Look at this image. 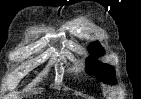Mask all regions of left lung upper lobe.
<instances>
[{
    "instance_id": "obj_1",
    "label": "left lung upper lobe",
    "mask_w": 141,
    "mask_h": 99,
    "mask_svg": "<svg viewBox=\"0 0 141 99\" xmlns=\"http://www.w3.org/2000/svg\"><path fill=\"white\" fill-rule=\"evenodd\" d=\"M89 50L94 56H99L104 53L103 48L96 42L90 44ZM87 73L90 75L94 74L99 79L109 84H114L116 82L115 70L113 67L108 64H104L95 58L87 60Z\"/></svg>"
}]
</instances>
